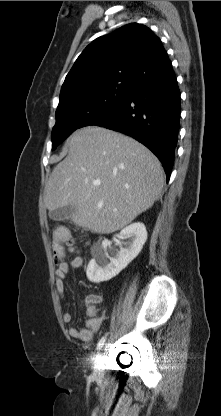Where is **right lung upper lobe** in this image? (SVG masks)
Wrapping results in <instances>:
<instances>
[{
	"instance_id": "obj_1",
	"label": "right lung upper lobe",
	"mask_w": 221,
	"mask_h": 416,
	"mask_svg": "<svg viewBox=\"0 0 221 416\" xmlns=\"http://www.w3.org/2000/svg\"><path fill=\"white\" fill-rule=\"evenodd\" d=\"M172 69L160 39L132 23L90 43L62 85L59 105L110 88L135 90L165 79Z\"/></svg>"
}]
</instances>
